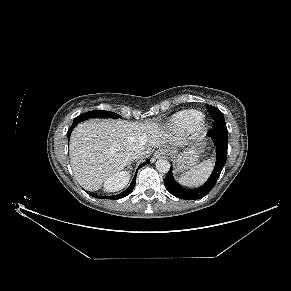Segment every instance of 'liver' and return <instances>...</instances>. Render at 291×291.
Masks as SVG:
<instances>
[{
  "mask_svg": "<svg viewBox=\"0 0 291 291\" xmlns=\"http://www.w3.org/2000/svg\"><path fill=\"white\" fill-rule=\"evenodd\" d=\"M171 142L182 143L154 123L112 119L85 121L76 126L70 139L74 177L84 189L97 191L108 178L128 166L132 160L128 155L131 147L144 146L147 148L145 156L152 148Z\"/></svg>",
  "mask_w": 291,
  "mask_h": 291,
  "instance_id": "6515ba94",
  "label": "liver"
}]
</instances>
